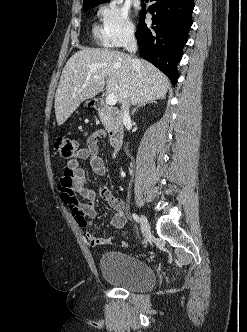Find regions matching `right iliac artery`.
<instances>
[{
  "instance_id": "82829eb1",
  "label": "right iliac artery",
  "mask_w": 247,
  "mask_h": 332,
  "mask_svg": "<svg viewBox=\"0 0 247 332\" xmlns=\"http://www.w3.org/2000/svg\"><path fill=\"white\" fill-rule=\"evenodd\" d=\"M132 218H133L137 223L140 222V219H139L138 215H136L135 213L132 214Z\"/></svg>"
}]
</instances>
